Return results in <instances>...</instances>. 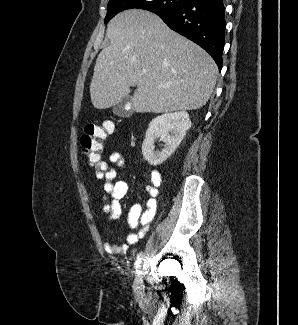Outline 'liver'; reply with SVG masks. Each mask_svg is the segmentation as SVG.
I'll list each match as a JSON object with an SVG mask.
<instances>
[{
	"instance_id": "liver-1",
	"label": "liver",
	"mask_w": 298,
	"mask_h": 325,
	"mask_svg": "<svg viewBox=\"0 0 298 325\" xmlns=\"http://www.w3.org/2000/svg\"><path fill=\"white\" fill-rule=\"evenodd\" d=\"M109 46L99 52L90 82L95 108H109L136 86L135 112L194 110L208 102L217 64L201 46L171 30L160 16L130 8L107 24Z\"/></svg>"
}]
</instances>
